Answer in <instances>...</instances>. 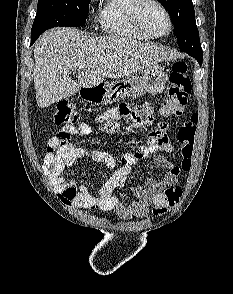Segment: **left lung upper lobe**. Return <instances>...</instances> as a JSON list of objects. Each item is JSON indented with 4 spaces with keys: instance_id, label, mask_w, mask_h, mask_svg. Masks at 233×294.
Listing matches in <instances>:
<instances>
[{
    "instance_id": "5c2ea615",
    "label": "left lung upper lobe",
    "mask_w": 233,
    "mask_h": 294,
    "mask_svg": "<svg viewBox=\"0 0 233 294\" xmlns=\"http://www.w3.org/2000/svg\"><path fill=\"white\" fill-rule=\"evenodd\" d=\"M168 11L174 24L177 43L181 51L202 64V48L196 27L192 0H158Z\"/></svg>"
}]
</instances>
